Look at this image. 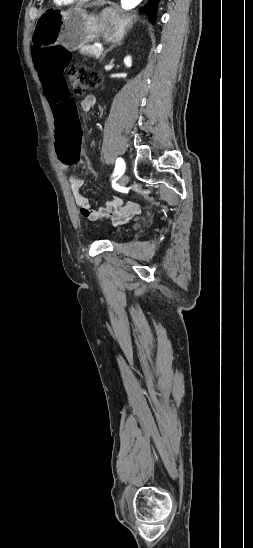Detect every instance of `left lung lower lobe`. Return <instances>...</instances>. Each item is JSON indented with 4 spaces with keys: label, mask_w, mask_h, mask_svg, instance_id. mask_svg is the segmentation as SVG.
Segmentation results:
<instances>
[{
    "label": "left lung lower lobe",
    "mask_w": 253,
    "mask_h": 548,
    "mask_svg": "<svg viewBox=\"0 0 253 548\" xmlns=\"http://www.w3.org/2000/svg\"><path fill=\"white\" fill-rule=\"evenodd\" d=\"M158 0H149L144 6L143 10L147 11L153 19L156 18Z\"/></svg>",
    "instance_id": "1"
}]
</instances>
